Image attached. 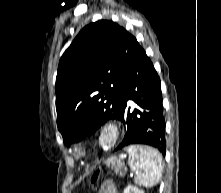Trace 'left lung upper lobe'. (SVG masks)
Returning a JSON list of instances; mask_svg holds the SVG:
<instances>
[{
    "label": "left lung upper lobe",
    "instance_id": "1",
    "mask_svg": "<svg viewBox=\"0 0 221 193\" xmlns=\"http://www.w3.org/2000/svg\"><path fill=\"white\" fill-rule=\"evenodd\" d=\"M139 47L124 28L100 20L84 27L65 51L56 78V110L66 145L91 135L108 119L120 120L121 85ZM145 117V125H156L154 108L149 106Z\"/></svg>",
    "mask_w": 221,
    "mask_h": 193
}]
</instances>
